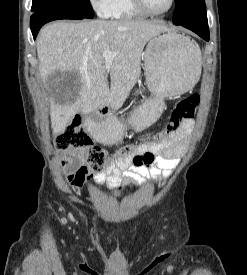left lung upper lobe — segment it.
<instances>
[{"label": "left lung upper lobe", "mask_w": 247, "mask_h": 275, "mask_svg": "<svg viewBox=\"0 0 247 275\" xmlns=\"http://www.w3.org/2000/svg\"><path fill=\"white\" fill-rule=\"evenodd\" d=\"M175 5L174 24L207 22L204 0H175Z\"/></svg>", "instance_id": "5c2ea615"}]
</instances>
